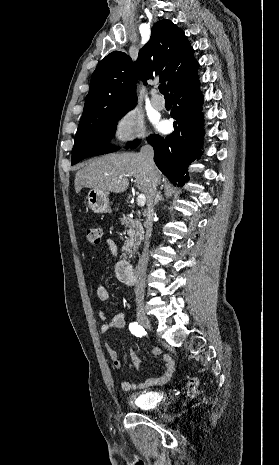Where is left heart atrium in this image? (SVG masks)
<instances>
[{
	"mask_svg": "<svg viewBox=\"0 0 279 465\" xmlns=\"http://www.w3.org/2000/svg\"><path fill=\"white\" fill-rule=\"evenodd\" d=\"M160 128H164V125H163V124H161V125H160Z\"/></svg>",
	"mask_w": 279,
	"mask_h": 465,
	"instance_id": "39dd6f15",
	"label": "left heart atrium"
}]
</instances>
